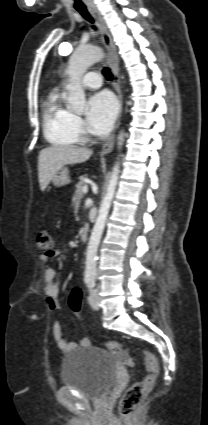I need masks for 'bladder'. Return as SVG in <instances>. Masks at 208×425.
I'll list each match as a JSON object with an SVG mask.
<instances>
[{"label":"bladder","mask_w":208,"mask_h":425,"mask_svg":"<svg viewBox=\"0 0 208 425\" xmlns=\"http://www.w3.org/2000/svg\"><path fill=\"white\" fill-rule=\"evenodd\" d=\"M116 379L115 359L110 352L94 346L80 347L64 360L62 383L89 400H101Z\"/></svg>","instance_id":"obj_1"}]
</instances>
